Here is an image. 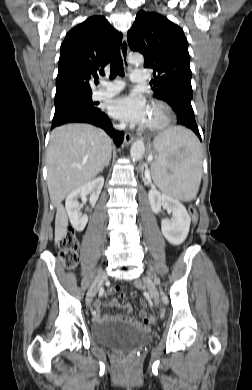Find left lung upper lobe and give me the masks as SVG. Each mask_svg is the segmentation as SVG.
<instances>
[{
  "instance_id": "left-lung-upper-lobe-1",
  "label": "left lung upper lobe",
  "mask_w": 252,
  "mask_h": 390,
  "mask_svg": "<svg viewBox=\"0 0 252 390\" xmlns=\"http://www.w3.org/2000/svg\"><path fill=\"white\" fill-rule=\"evenodd\" d=\"M127 41L133 51L144 55V67L154 71L157 89L154 97L172 105L176 100L190 101V55L183 30L154 12H138Z\"/></svg>"
}]
</instances>
